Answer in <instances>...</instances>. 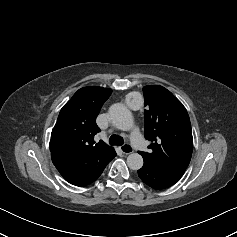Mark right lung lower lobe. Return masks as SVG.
<instances>
[{
  "mask_svg": "<svg viewBox=\"0 0 237 237\" xmlns=\"http://www.w3.org/2000/svg\"><path fill=\"white\" fill-rule=\"evenodd\" d=\"M52 161L65 180L79 187H83L94 182L101 175L106 165L110 162L109 161L93 170H81L70 165L65 159L56 158L52 159Z\"/></svg>",
  "mask_w": 237,
  "mask_h": 237,
  "instance_id": "right-lung-lower-lobe-1",
  "label": "right lung lower lobe"
}]
</instances>
